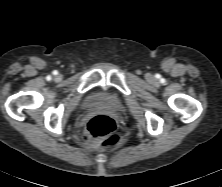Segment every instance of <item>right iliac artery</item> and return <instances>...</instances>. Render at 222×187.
Here are the masks:
<instances>
[{"instance_id":"right-iliac-artery-1","label":"right iliac artery","mask_w":222,"mask_h":187,"mask_svg":"<svg viewBox=\"0 0 222 187\" xmlns=\"http://www.w3.org/2000/svg\"><path fill=\"white\" fill-rule=\"evenodd\" d=\"M55 73H57V72H55ZM51 79V77L50 76H47V80H50Z\"/></svg>"}]
</instances>
